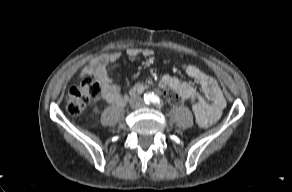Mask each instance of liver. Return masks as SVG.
Wrapping results in <instances>:
<instances>
[{
  "label": "liver",
  "mask_w": 292,
  "mask_h": 192,
  "mask_svg": "<svg viewBox=\"0 0 292 192\" xmlns=\"http://www.w3.org/2000/svg\"><path fill=\"white\" fill-rule=\"evenodd\" d=\"M88 70H89L88 66H85V67L82 69V71H81L79 77H80V78L85 77V75L87 74Z\"/></svg>",
  "instance_id": "obj_1"
}]
</instances>
